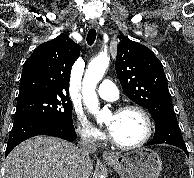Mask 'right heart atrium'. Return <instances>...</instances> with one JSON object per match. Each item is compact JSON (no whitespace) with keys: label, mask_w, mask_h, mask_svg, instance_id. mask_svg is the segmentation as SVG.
I'll return each instance as SVG.
<instances>
[{"label":"right heart atrium","mask_w":194,"mask_h":178,"mask_svg":"<svg viewBox=\"0 0 194 178\" xmlns=\"http://www.w3.org/2000/svg\"><path fill=\"white\" fill-rule=\"evenodd\" d=\"M76 131L80 138L86 142L98 143L105 137L82 114L76 116Z\"/></svg>","instance_id":"d8ad5b80"}]
</instances>
